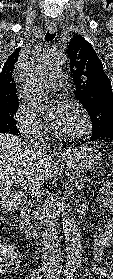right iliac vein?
Returning <instances> with one entry per match:
<instances>
[{
	"instance_id": "right-iliac-vein-1",
	"label": "right iliac vein",
	"mask_w": 113,
	"mask_h": 279,
	"mask_svg": "<svg viewBox=\"0 0 113 279\" xmlns=\"http://www.w3.org/2000/svg\"><path fill=\"white\" fill-rule=\"evenodd\" d=\"M42 270H43L44 272H47V271L49 270V268H48L47 266H44V267L42 268Z\"/></svg>"
}]
</instances>
